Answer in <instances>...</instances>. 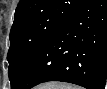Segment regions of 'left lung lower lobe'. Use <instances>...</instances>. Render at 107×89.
I'll return each mask as SVG.
<instances>
[{"mask_svg": "<svg viewBox=\"0 0 107 89\" xmlns=\"http://www.w3.org/2000/svg\"><path fill=\"white\" fill-rule=\"evenodd\" d=\"M107 0H87L44 43L12 89L62 81L104 89Z\"/></svg>", "mask_w": 107, "mask_h": 89, "instance_id": "0a47b994", "label": "left lung lower lobe"}]
</instances>
